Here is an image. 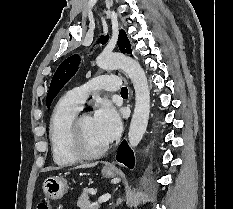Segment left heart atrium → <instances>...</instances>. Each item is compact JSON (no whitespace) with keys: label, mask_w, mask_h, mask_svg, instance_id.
I'll use <instances>...</instances> for the list:
<instances>
[{"label":"left heart atrium","mask_w":233,"mask_h":209,"mask_svg":"<svg viewBox=\"0 0 233 209\" xmlns=\"http://www.w3.org/2000/svg\"><path fill=\"white\" fill-rule=\"evenodd\" d=\"M95 129L100 138L109 143L120 133L121 120L116 109L108 102H102L93 117Z\"/></svg>","instance_id":"39dd6f15"}]
</instances>
